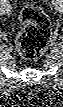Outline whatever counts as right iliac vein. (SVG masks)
<instances>
[{"label": "right iliac vein", "mask_w": 63, "mask_h": 107, "mask_svg": "<svg viewBox=\"0 0 63 107\" xmlns=\"http://www.w3.org/2000/svg\"><path fill=\"white\" fill-rule=\"evenodd\" d=\"M6 11H9V4L8 3L1 4L0 6L1 14H4Z\"/></svg>", "instance_id": "1"}]
</instances>
